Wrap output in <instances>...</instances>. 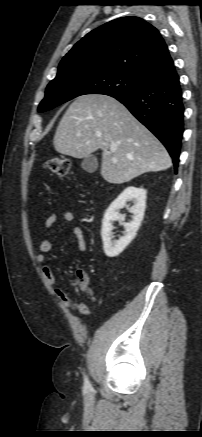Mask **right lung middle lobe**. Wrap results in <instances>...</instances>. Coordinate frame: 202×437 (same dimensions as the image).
<instances>
[{
	"label": "right lung middle lobe",
	"instance_id": "obj_1",
	"mask_svg": "<svg viewBox=\"0 0 202 437\" xmlns=\"http://www.w3.org/2000/svg\"><path fill=\"white\" fill-rule=\"evenodd\" d=\"M144 80L117 72H85L73 70L57 76L45 92L38 111H48L75 97L85 94H114L132 92L143 84Z\"/></svg>",
	"mask_w": 202,
	"mask_h": 437
}]
</instances>
